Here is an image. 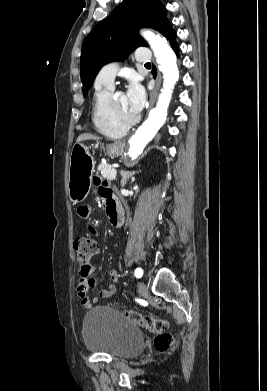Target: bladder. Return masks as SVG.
Returning <instances> with one entry per match:
<instances>
[{
  "label": "bladder",
  "mask_w": 267,
  "mask_h": 391,
  "mask_svg": "<svg viewBox=\"0 0 267 391\" xmlns=\"http://www.w3.org/2000/svg\"><path fill=\"white\" fill-rule=\"evenodd\" d=\"M82 336L88 351L112 357H134L144 347V336L139 327L119 312L104 307L94 308L87 313Z\"/></svg>",
  "instance_id": "31cf9c89"
}]
</instances>
